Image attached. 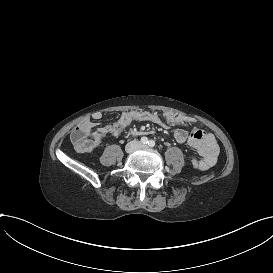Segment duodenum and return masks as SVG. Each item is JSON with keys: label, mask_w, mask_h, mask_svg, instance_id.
Segmentation results:
<instances>
[{"label": "duodenum", "mask_w": 273, "mask_h": 273, "mask_svg": "<svg viewBox=\"0 0 273 273\" xmlns=\"http://www.w3.org/2000/svg\"><path fill=\"white\" fill-rule=\"evenodd\" d=\"M131 133L133 135H141L143 132L142 131H138V130H132Z\"/></svg>", "instance_id": "410a0bca"}]
</instances>
